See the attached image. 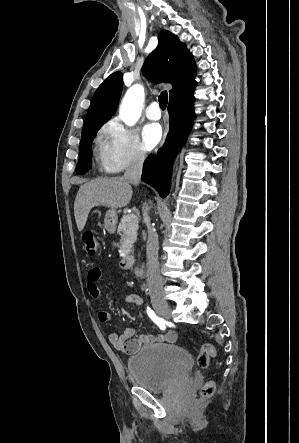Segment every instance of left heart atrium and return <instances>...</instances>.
Returning <instances> with one entry per match:
<instances>
[{"label": "left heart atrium", "instance_id": "39dd6f15", "mask_svg": "<svg viewBox=\"0 0 299 443\" xmlns=\"http://www.w3.org/2000/svg\"><path fill=\"white\" fill-rule=\"evenodd\" d=\"M162 138V129L159 124L151 123L144 127L142 132L143 147L152 150Z\"/></svg>", "mask_w": 299, "mask_h": 443}]
</instances>
